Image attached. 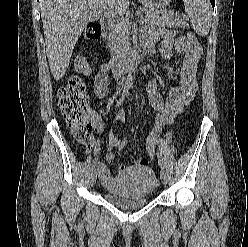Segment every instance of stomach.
I'll return each mask as SVG.
<instances>
[{"instance_id": "1", "label": "stomach", "mask_w": 248, "mask_h": 247, "mask_svg": "<svg viewBox=\"0 0 248 247\" xmlns=\"http://www.w3.org/2000/svg\"><path fill=\"white\" fill-rule=\"evenodd\" d=\"M150 10L163 9L169 5L171 0H140Z\"/></svg>"}]
</instances>
